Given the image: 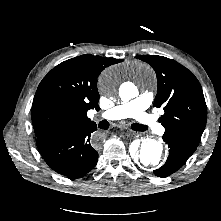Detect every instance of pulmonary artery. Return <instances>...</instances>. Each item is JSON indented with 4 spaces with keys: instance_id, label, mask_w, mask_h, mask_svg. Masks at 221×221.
I'll return each mask as SVG.
<instances>
[{
    "instance_id": "obj_1",
    "label": "pulmonary artery",
    "mask_w": 221,
    "mask_h": 221,
    "mask_svg": "<svg viewBox=\"0 0 221 221\" xmlns=\"http://www.w3.org/2000/svg\"><path fill=\"white\" fill-rule=\"evenodd\" d=\"M153 100L152 93H144L141 96L118 104L102 113V117L108 120H118L128 117L135 118L153 133L160 134L164 127L157 119L146 110Z\"/></svg>"
}]
</instances>
